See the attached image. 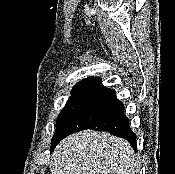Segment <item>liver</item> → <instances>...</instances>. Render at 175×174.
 Returning a JSON list of instances; mask_svg holds the SVG:
<instances>
[{"label": "liver", "mask_w": 175, "mask_h": 174, "mask_svg": "<svg viewBox=\"0 0 175 174\" xmlns=\"http://www.w3.org/2000/svg\"><path fill=\"white\" fill-rule=\"evenodd\" d=\"M140 160L128 141L108 132L83 130L52 153V174H139Z\"/></svg>", "instance_id": "liver-1"}]
</instances>
